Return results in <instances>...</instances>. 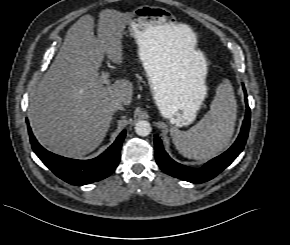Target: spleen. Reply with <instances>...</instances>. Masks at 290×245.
<instances>
[{
  "instance_id": "1",
  "label": "spleen",
  "mask_w": 290,
  "mask_h": 245,
  "mask_svg": "<svg viewBox=\"0 0 290 245\" xmlns=\"http://www.w3.org/2000/svg\"><path fill=\"white\" fill-rule=\"evenodd\" d=\"M237 104L228 81L219 84L210 110L188 131L171 129L176 149L184 157L207 160L222 152L233 136Z\"/></svg>"
}]
</instances>
